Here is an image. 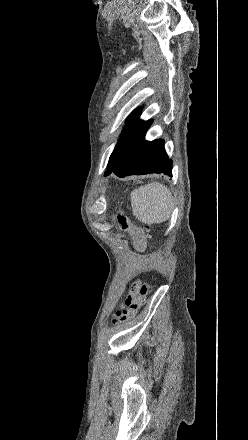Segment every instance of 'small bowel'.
Wrapping results in <instances>:
<instances>
[{"mask_svg":"<svg viewBox=\"0 0 248 440\" xmlns=\"http://www.w3.org/2000/svg\"><path fill=\"white\" fill-rule=\"evenodd\" d=\"M140 234H141V231L139 229H137V228H133L131 230V235H132V237H133V239L135 241V245L138 248H139V243H140Z\"/></svg>","mask_w":248,"mask_h":440,"instance_id":"c3829d8e","label":"small bowel"}]
</instances>
